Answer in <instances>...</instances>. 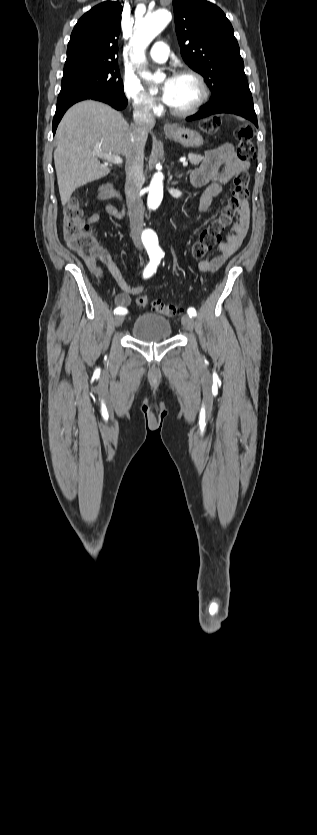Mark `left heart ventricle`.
Returning <instances> with one entry per match:
<instances>
[{"mask_svg":"<svg viewBox=\"0 0 317 835\" xmlns=\"http://www.w3.org/2000/svg\"><path fill=\"white\" fill-rule=\"evenodd\" d=\"M198 94L197 84L192 78L175 77L169 106L179 110L187 109L195 102Z\"/></svg>","mask_w":317,"mask_h":835,"instance_id":"1","label":"left heart ventricle"}]
</instances>
